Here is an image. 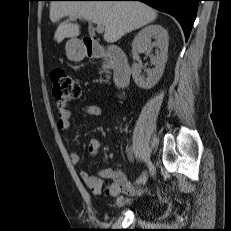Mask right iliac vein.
Wrapping results in <instances>:
<instances>
[{
    "mask_svg": "<svg viewBox=\"0 0 231 231\" xmlns=\"http://www.w3.org/2000/svg\"><path fill=\"white\" fill-rule=\"evenodd\" d=\"M146 164L149 168V171L151 173V175L153 176L155 174V167L154 165L152 164V162L150 160H146Z\"/></svg>",
    "mask_w": 231,
    "mask_h": 231,
    "instance_id": "63e3f726",
    "label": "right iliac vein"
}]
</instances>
